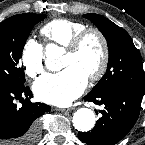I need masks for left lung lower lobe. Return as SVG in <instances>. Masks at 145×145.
I'll return each mask as SVG.
<instances>
[{"label":"left lung lower lobe","instance_id":"1","mask_svg":"<svg viewBox=\"0 0 145 145\" xmlns=\"http://www.w3.org/2000/svg\"><path fill=\"white\" fill-rule=\"evenodd\" d=\"M143 93L119 88L101 95L87 94L84 99L103 104L102 117L89 132H79L78 137L88 145H114L124 138L134 126L140 113Z\"/></svg>","mask_w":145,"mask_h":145}]
</instances>
